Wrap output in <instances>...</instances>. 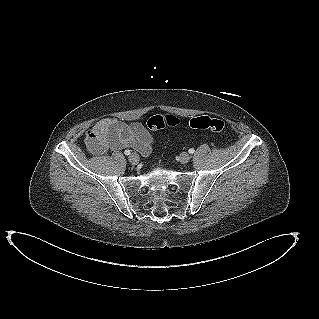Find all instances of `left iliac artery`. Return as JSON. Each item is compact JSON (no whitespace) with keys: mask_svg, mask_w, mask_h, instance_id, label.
Wrapping results in <instances>:
<instances>
[{"mask_svg":"<svg viewBox=\"0 0 319 319\" xmlns=\"http://www.w3.org/2000/svg\"><path fill=\"white\" fill-rule=\"evenodd\" d=\"M190 154H193L195 152V150L193 148H190L188 151Z\"/></svg>","mask_w":319,"mask_h":319,"instance_id":"left-iliac-artery-1","label":"left iliac artery"}]
</instances>
